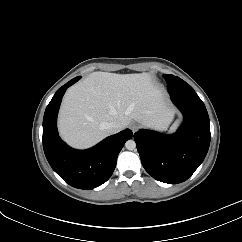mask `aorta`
<instances>
[{"label":"aorta","mask_w":242,"mask_h":242,"mask_svg":"<svg viewBox=\"0 0 242 242\" xmlns=\"http://www.w3.org/2000/svg\"><path fill=\"white\" fill-rule=\"evenodd\" d=\"M125 147L128 149V150H133L136 148V143L134 140L130 139L128 141H126L125 143Z\"/></svg>","instance_id":"aorta-1"}]
</instances>
